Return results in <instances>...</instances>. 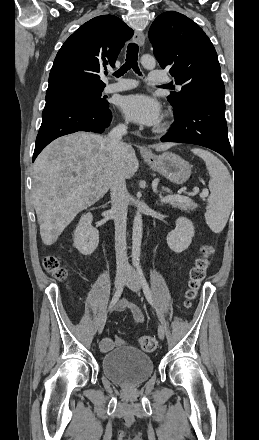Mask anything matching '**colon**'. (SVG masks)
I'll return each mask as SVG.
<instances>
[{
  "label": "colon",
  "instance_id": "1",
  "mask_svg": "<svg viewBox=\"0 0 259 440\" xmlns=\"http://www.w3.org/2000/svg\"><path fill=\"white\" fill-rule=\"evenodd\" d=\"M213 254V247L204 245L201 249V256L196 260L195 265L190 271L188 290L186 292L185 306L190 307L192 301L196 298L202 281L205 278L209 266L210 256ZM45 270L57 280H64L67 277V269L61 264L59 258L54 255L46 256L43 260ZM139 346L147 351H154L157 347V341L152 336H142L139 338Z\"/></svg>",
  "mask_w": 259,
  "mask_h": 440
}]
</instances>
